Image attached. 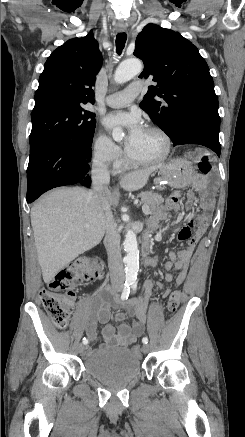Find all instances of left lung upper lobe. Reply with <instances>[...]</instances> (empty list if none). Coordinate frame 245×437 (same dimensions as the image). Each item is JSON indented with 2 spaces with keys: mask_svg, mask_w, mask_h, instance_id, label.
<instances>
[{
  "mask_svg": "<svg viewBox=\"0 0 245 437\" xmlns=\"http://www.w3.org/2000/svg\"><path fill=\"white\" fill-rule=\"evenodd\" d=\"M134 55L144 63L139 78H153L157 83L149 86L140 107L173 143L195 122L220 128L213 79L206 61L189 40L178 32L148 24L137 36Z\"/></svg>",
  "mask_w": 245,
  "mask_h": 437,
  "instance_id": "left-lung-upper-lobe-1",
  "label": "left lung upper lobe"
}]
</instances>
